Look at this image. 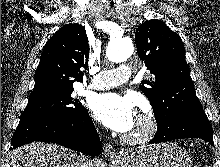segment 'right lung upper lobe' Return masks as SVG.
<instances>
[{"label":"right lung upper lobe","instance_id":"obj_1","mask_svg":"<svg viewBox=\"0 0 220 167\" xmlns=\"http://www.w3.org/2000/svg\"><path fill=\"white\" fill-rule=\"evenodd\" d=\"M89 45L85 28L68 24L46 43L36 70L30 99L73 88L83 80L81 67H88Z\"/></svg>","mask_w":220,"mask_h":167}]
</instances>
